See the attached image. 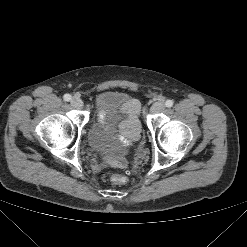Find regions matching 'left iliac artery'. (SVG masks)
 I'll use <instances>...</instances> for the list:
<instances>
[{"instance_id": "44dca946", "label": "left iliac artery", "mask_w": 247, "mask_h": 247, "mask_svg": "<svg viewBox=\"0 0 247 247\" xmlns=\"http://www.w3.org/2000/svg\"><path fill=\"white\" fill-rule=\"evenodd\" d=\"M165 105H166V107L170 108V107L173 106V101H172V100H167V101L165 102Z\"/></svg>"}]
</instances>
